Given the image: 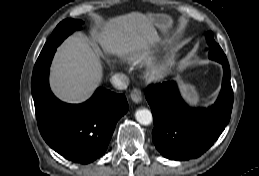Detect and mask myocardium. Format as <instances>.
Wrapping results in <instances>:
<instances>
[{"instance_id":"1","label":"myocardium","mask_w":259,"mask_h":176,"mask_svg":"<svg viewBox=\"0 0 259 176\" xmlns=\"http://www.w3.org/2000/svg\"><path fill=\"white\" fill-rule=\"evenodd\" d=\"M170 71V62L155 66L149 73L148 78L150 81L158 82L164 80Z\"/></svg>"}]
</instances>
